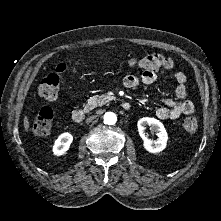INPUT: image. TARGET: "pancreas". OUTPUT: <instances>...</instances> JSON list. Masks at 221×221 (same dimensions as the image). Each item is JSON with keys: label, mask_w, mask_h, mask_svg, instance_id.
Instances as JSON below:
<instances>
[{"label": "pancreas", "mask_w": 221, "mask_h": 221, "mask_svg": "<svg viewBox=\"0 0 221 221\" xmlns=\"http://www.w3.org/2000/svg\"><path fill=\"white\" fill-rule=\"evenodd\" d=\"M113 99H114V97L108 96V95H105V94L95 95V96L90 97L87 100V103H86L85 106L87 107L88 110H93L97 106H102L106 103H109Z\"/></svg>", "instance_id": "cf45deb5"}]
</instances>
